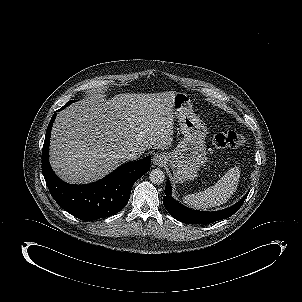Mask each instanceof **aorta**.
<instances>
[{
    "label": "aorta",
    "instance_id": "762f6f07",
    "mask_svg": "<svg viewBox=\"0 0 302 302\" xmlns=\"http://www.w3.org/2000/svg\"><path fill=\"white\" fill-rule=\"evenodd\" d=\"M149 179L153 184H161L165 180L164 172L161 169H154L149 173Z\"/></svg>",
    "mask_w": 302,
    "mask_h": 302
}]
</instances>
